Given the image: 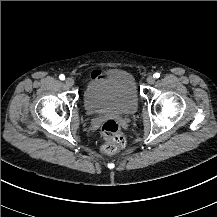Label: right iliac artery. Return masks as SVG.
I'll list each match as a JSON object with an SVG mask.
<instances>
[{
  "label": "right iliac artery",
  "mask_w": 217,
  "mask_h": 217,
  "mask_svg": "<svg viewBox=\"0 0 217 217\" xmlns=\"http://www.w3.org/2000/svg\"><path fill=\"white\" fill-rule=\"evenodd\" d=\"M59 78H60V80H64V79H65V76H64L63 74H61V75L59 76Z\"/></svg>",
  "instance_id": "82829eb1"
}]
</instances>
